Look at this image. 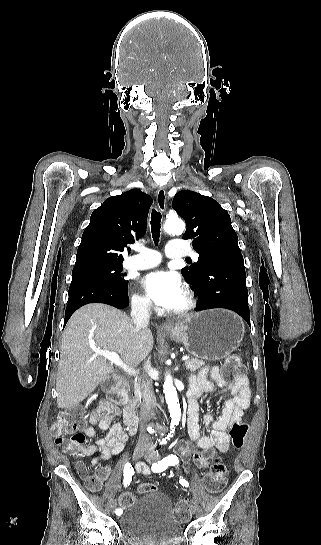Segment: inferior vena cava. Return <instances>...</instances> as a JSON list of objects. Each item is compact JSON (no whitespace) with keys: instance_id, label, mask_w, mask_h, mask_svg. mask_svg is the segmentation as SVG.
Here are the masks:
<instances>
[{"instance_id":"602c4592","label":"inferior vena cava","mask_w":321,"mask_h":545,"mask_svg":"<svg viewBox=\"0 0 321 545\" xmlns=\"http://www.w3.org/2000/svg\"><path fill=\"white\" fill-rule=\"evenodd\" d=\"M152 303L150 299H136V301H132L131 305V317L132 321L135 325V327H147L150 319V307ZM144 369L145 371H149L151 369V363L149 359H146L144 363ZM144 393H143V401L141 403V409H140V435L137 442V449L138 450H150L151 449V437L150 435H147L144 431V425L145 423H148L150 421L151 417H153V411L155 405H156V399L152 387V381L151 379H146L144 383Z\"/></svg>"}]
</instances>
